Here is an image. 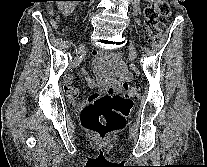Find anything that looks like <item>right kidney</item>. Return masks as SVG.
<instances>
[{
  "label": "right kidney",
  "instance_id": "obj_1",
  "mask_svg": "<svg viewBox=\"0 0 207 167\" xmlns=\"http://www.w3.org/2000/svg\"><path fill=\"white\" fill-rule=\"evenodd\" d=\"M58 9L63 12L64 15H70L74 10V4L72 2L58 1L56 2Z\"/></svg>",
  "mask_w": 207,
  "mask_h": 167
}]
</instances>
